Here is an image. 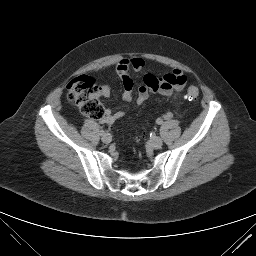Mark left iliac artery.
Returning <instances> with one entry per match:
<instances>
[{"mask_svg":"<svg viewBox=\"0 0 256 256\" xmlns=\"http://www.w3.org/2000/svg\"><path fill=\"white\" fill-rule=\"evenodd\" d=\"M156 123L159 124V125H161V124L163 123V120L160 119V118H158V119L156 120Z\"/></svg>","mask_w":256,"mask_h":256,"instance_id":"left-iliac-artery-1","label":"left iliac artery"}]
</instances>
